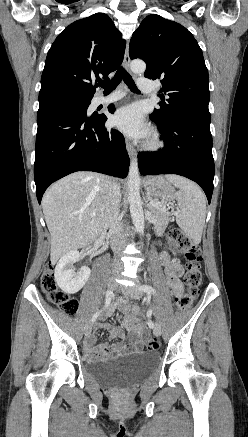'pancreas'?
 I'll use <instances>...</instances> for the list:
<instances>
[{"label": "pancreas", "mask_w": 248, "mask_h": 437, "mask_svg": "<svg viewBox=\"0 0 248 437\" xmlns=\"http://www.w3.org/2000/svg\"><path fill=\"white\" fill-rule=\"evenodd\" d=\"M149 209L155 218V230L158 232L164 229L170 221L171 214L168 209L163 204L161 206L151 205Z\"/></svg>", "instance_id": "1"}]
</instances>
